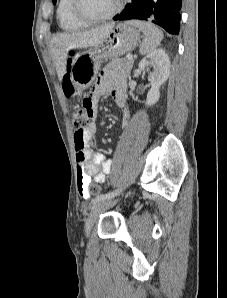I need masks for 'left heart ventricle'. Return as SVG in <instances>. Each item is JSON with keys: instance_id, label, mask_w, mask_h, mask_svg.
Wrapping results in <instances>:
<instances>
[{"instance_id": "left-heart-ventricle-1", "label": "left heart ventricle", "mask_w": 227, "mask_h": 298, "mask_svg": "<svg viewBox=\"0 0 227 298\" xmlns=\"http://www.w3.org/2000/svg\"><path fill=\"white\" fill-rule=\"evenodd\" d=\"M117 0H82L84 12L91 17H102L110 13Z\"/></svg>"}]
</instances>
